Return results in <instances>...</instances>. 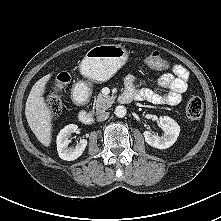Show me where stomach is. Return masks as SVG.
Listing matches in <instances>:
<instances>
[{"instance_id": "0dacf381", "label": "stomach", "mask_w": 221, "mask_h": 221, "mask_svg": "<svg viewBox=\"0 0 221 221\" xmlns=\"http://www.w3.org/2000/svg\"><path fill=\"white\" fill-rule=\"evenodd\" d=\"M128 52L122 45L104 44L91 48L80 65L81 74L91 81L109 80L127 61Z\"/></svg>"}]
</instances>
